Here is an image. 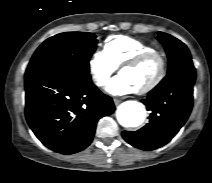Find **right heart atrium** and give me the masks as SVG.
Here are the masks:
<instances>
[{
	"mask_svg": "<svg viewBox=\"0 0 212 183\" xmlns=\"http://www.w3.org/2000/svg\"><path fill=\"white\" fill-rule=\"evenodd\" d=\"M88 69L94 84L98 87H105L117 70V67L102 50L95 52L91 56L88 62Z\"/></svg>",
	"mask_w": 212,
	"mask_h": 183,
	"instance_id": "obj_1",
	"label": "right heart atrium"
}]
</instances>
